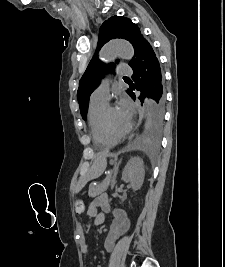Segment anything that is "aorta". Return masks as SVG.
Returning a JSON list of instances; mask_svg holds the SVG:
<instances>
[{
    "instance_id": "1",
    "label": "aorta",
    "mask_w": 225,
    "mask_h": 267,
    "mask_svg": "<svg viewBox=\"0 0 225 267\" xmlns=\"http://www.w3.org/2000/svg\"><path fill=\"white\" fill-rule=\"evenodd\" d=\"M115 56H119L124 60H130L134 56V48L127 41H117L106 44L101 52L100 58L104 62L112 60ZM152 101L146 100L145 107V128H148L151 123Z\"/></svg>"
}]
</instances>
